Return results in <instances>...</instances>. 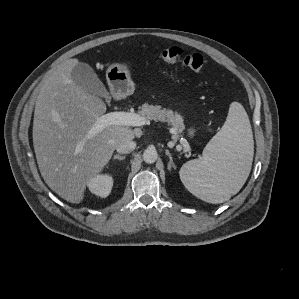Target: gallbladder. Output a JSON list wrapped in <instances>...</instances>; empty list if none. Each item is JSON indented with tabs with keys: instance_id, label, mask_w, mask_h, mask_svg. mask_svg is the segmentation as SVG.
<instances>
[{
	"instance_id": "1",
	"label": "gallbladder",
	"mask_w": 299,
	"mask_h": 299,
	"mask_svg": "<svg viewBox=\"0 0 299 299\" xmlns=\"http://www.w3.org/2000/svg\"><path fill=\"white\" fill-rule=\"evenodd\" d=\"M71 79L82 90L101 97L108 98L109 93L98 78L92 67L79 62L71 71Z\"/></svg>"
}]
</instances>
